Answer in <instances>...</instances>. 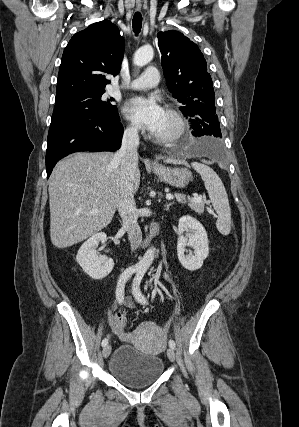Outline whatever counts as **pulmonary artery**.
<instances>
[{
	"label": "pulmonary artery",
	"instance_id": "obj_1",
	"mask_svg": "<svg viewBox=\"0 0 299 427\" xmlns=\"http://www.w3.org/2000/svg\"><path fill=\"white\" fill-rule=\"evenodd\" d=\"M159 83V72L154 66H149L144 73L125 85L127 88L144 90L156 86Z\"/></svg>",
	"mask_w": 299,
	"mask_h": 427
}]
</instances>
